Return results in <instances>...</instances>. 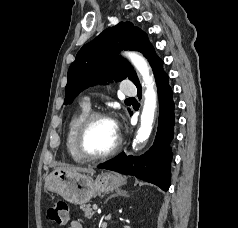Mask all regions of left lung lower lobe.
Returning <instances> with one entry per match:
<instances>
[{"mask_svg": "<svg viewBox=\"0 0 238 228\" xmlns=\"http://www.w3.org/2000/svg\"><path fill=\"white\" fill-rule=\"evenodd\" d=\"M148 61L155 75L160 103L158 131L153 146L139 157L126 156L121 153L110 161L98 166L124 175L153 183L162 190L170 187V162L172 152L169 146L174 132V102L172 89L168 84V75L163 70V61L154 52ZM138 97L141 98L140 83L136 85ZM132 114V112H130Z\"/></svg>", "mask_w": 238, "mask_h": 228, "instance_id": "left-lung-lower-lobe-1", "label": "left lung lower lobe"}]
</instances>
